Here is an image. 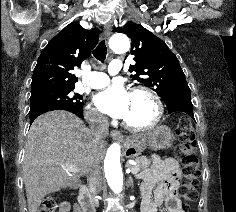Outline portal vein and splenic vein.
Wrapping results in <instances>:
<instances>
[{"mask_svg":"<svg viewBox=\"0 0 236 212\" xmlns=\"http://www.w3.org/2000/svg\"><path fill=\"white\" fill-rule=\"evenodd\" d=\"M62 168L67 171V172H71V173H77L80 171V168H78L77 166L75 165H63ZM139 172L138 169L134 168V169H131V173L132 174H137Z\"/></svg>","mask_w":236,"mask_h":212,"instance_id":"portal-vein-and-splenic-vein-1","label":"portal vein and splenic vein"}]
</instances>
